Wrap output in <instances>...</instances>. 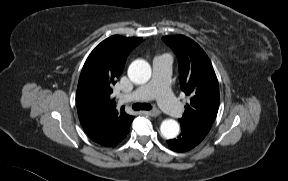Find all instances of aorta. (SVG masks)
Masks as SVG:
<instances>
[{
    "instance_id": "1",
    "label": "aorta",
    "mask_w": 288,
    "mask_h": 181,
    "mask_svg": "<svg viewBox=\"0 0 288 181\" xmlns=\"http://www.w3.org/2000/svg\"><path fill=\"white\" fill-rule=\"evenodd\" d=\"M128 76L135 84H144L151 78L150 64L142 59L133 61L128 68ZM179 124L174 119H166L160 125V132L166 139H173L179 134Z\"/></svg>"
}]
</instances>
